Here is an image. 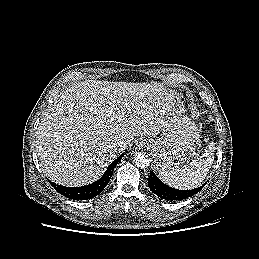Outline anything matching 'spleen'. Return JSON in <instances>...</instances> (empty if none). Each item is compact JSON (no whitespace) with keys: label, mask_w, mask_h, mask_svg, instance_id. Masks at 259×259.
Wrapping results in <instances>:
<instances>
[{"label":"spleen","mask_w":259,"mask_h":259,"mask_svg":"<svg viewBox=\"0 0 259 259\" xmlns=\"http://www.w3.org/2000/svg\"><path fill=\"white\" fill-rule=\"evenodd\" d=\"M215 143L209 142L202 156L171 171H161L160 179L167 185L182 189H194L202 184L214 161Z\"/></svg>","instance_id":"spleen-1"}]
</instances>
